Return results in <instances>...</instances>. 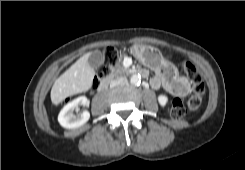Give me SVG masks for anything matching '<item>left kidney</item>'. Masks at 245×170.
<instances>
[{
	"label": "left kidney",
	"mask_w": 245,
	"mask_h": 170,
	"mask_svg": "<svg viewBox=\"0 0 245 170\" xmlns=\"http://www.w3.org/2000/svg\"><path fill=\"white\" fill-rule=\"evenodd\" d=\"M158 102L161 106H165L168 102V97L166 95H159Z\"/></svg>",
	"instance_id": "obj_1"
}]
</instances>
